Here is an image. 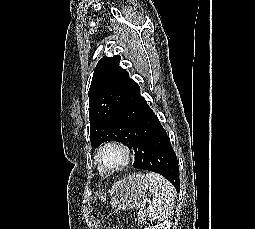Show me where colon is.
Listing matches in <instances>:
<instances>
[{
	"label": "colon",
	"mask_w": 255,
	"mask_h": 229,
	"mask_svg": "<svg viewBox=\"0 0 255 229\" xmlns=\"http://www.w3.org/2000/svg\"><path fill=\"white\" fill-rule=\"evenodd\" d=\"M108 229H116L115 227H113V226H110Z\"/></svg>",
	"instance_id": "5ec220e1"
}]
</instances>
